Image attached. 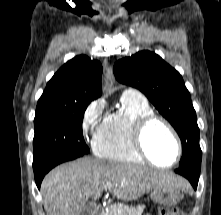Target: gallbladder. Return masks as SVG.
<instances>
[{"instance_id": "bac80fb5", "label": "gallbladder", "mask_w": 221, "mask_h": 215, "mask_svg": "<svg viewBox=\"0 0 221 215\" xmlns=\"http://www.w3.org/2000/svg\"><path fill=\"white\" fill-rule=\"evenodd\" d=\"M94 208H95V206H94L93 202L87 203L82 215H93Z\"/></svg>"}]
</instances>
